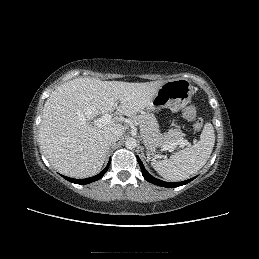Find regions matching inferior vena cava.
I'll return each instance as SVG.
<instances>
[{
  "mask_svg": "<svg viewBox=\"0 0 259 259\" xmlns=\"http://www.w3.org/2000/svg\"><path fill=\"white\" fill-rule=\"evenodd\" d=\"M122 131L120 130H113V131H110L108 132L106 135H105V140L107 141V143L111 144V143H115L117 142L121 136H122Z\"/></svg>",
  "mask_w": 259,
  "mask_h": 259,
  "instance_id": "obj_1",
  "label": "inferior vena cava"
}]
</instances>
